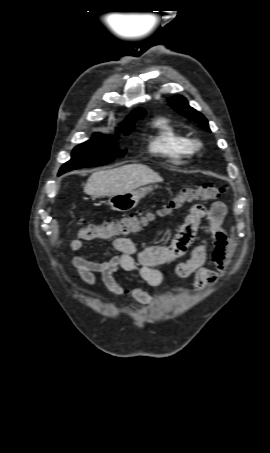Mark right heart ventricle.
I'll return each mask as SVG.
<instances>
[{
	"instance_id": "e07e8e85",
	"label": "right heart ventricle",
	"mask_w": 270,
	"mask_h": 453,
	"mask_svg": "<svg viewBox=\"0 0 270 453\" xmlns=\"http://www.w3.org/2000/svg\"><path fill=\"white\" fill-rule=\"evenodd\" d=\"M155 127V135L149 143L150 151L172 163H183L192 153L189 138L164 118L158 119Z\"/></svg>"
}]
</instances>
